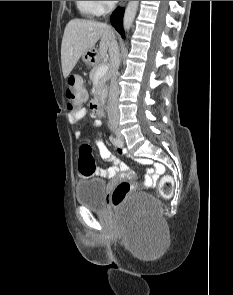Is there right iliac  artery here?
Here are the masks:
<instances>
[{"label":"right iliac artery","instance_id":"right-iliac-artery-1","mask_svg":"<svg viewBox=\"0 0 233 295\" xmlns=\"http://www.w3.org/2000/svg\"><path fill=\"white\" fill-rule=\"evenodd\" d=\"M113 144H114L115 146H117V147H120V146L123 145L122 142H121V140H119L118 138H115V142H113Z\"/></svg>","mask_w":233,"mask_h":295}]
</instances>
